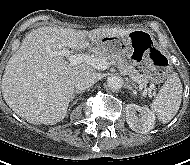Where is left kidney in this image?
<instances>
[{
    "mask_svg": "<svg viewBox=\"0 0 190 165\" xmlns=\"http://www.w3.org/2000/svg\"><path fill=\"white\" fill-rule=\"evenodd\" d=\"M126 121L133 131L144 134L153 129L155 115L146 107L129 104L126 106Z\"/></svg>",
    "mask_w": 190,
    "mask_h": 165,
    "instance_id": "5707ae66",
    "label": "left kidney"
}]
</instances>
